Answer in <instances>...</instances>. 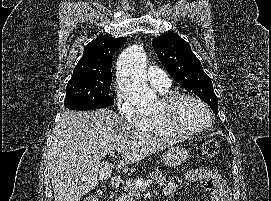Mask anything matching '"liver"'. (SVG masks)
Here are the masks:
<instances>
[{"instance_id": "6515ba94", "label": "liver", "mask_w": 271, "mask_h": 201, "mask_svg": "<svg viewBox=\"0 0 271 201\" xmlns=\"http://www.w3.org/2000/svg\"><path fill=\"white\" fill-rule=\"evenodd\" d=\"M53 134L49 168L55 201H79L95 189L101 159L119 146L122 160L133 164L176 143L135 129L109 108L64 111Z\"/></svg>"}]
</instances>
